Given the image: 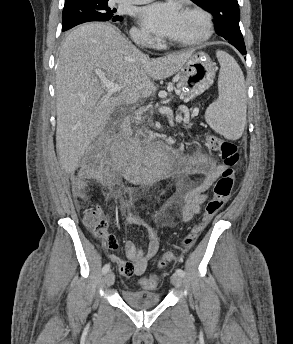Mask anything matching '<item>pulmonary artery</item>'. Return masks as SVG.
<instances>
[{
	"label": "pulmonary artery",
	"instance_id": "obj_1",
	"mask_svg": "<svg viewBox=\"0 0 293 344\" xmlns=\"http://www.w3.org/2000/svg\"><path fill=\"white\" fill-rule=\"evenodd\" d=\"M124 1L130 4H144L152 0H124Z\"/></svg>",
	"mask_w": 293,
	"mask_h": 344
}]
</instances>
